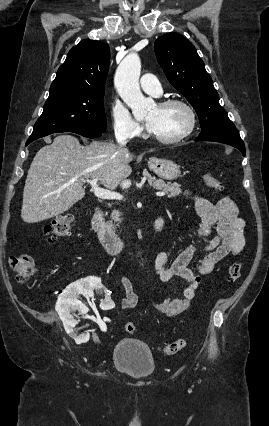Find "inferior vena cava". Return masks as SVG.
<instances>
[{
    "label": "inferior vena cava",
    "instance_id": "602c4592",
    "mask_svg": "<svg viewBox=\"0 0 269 426\" xmlns=\"http://www.w3.org/2000/svg\"><path fill=\"white\" fill-rule=\"evenodd\" d=\"M116 140H117L118 144L120 145V147L125 146L126 143H127L126 138L122 135H116Z\"/></svg>",
    "mask_w": 269,
    "mask_h": 426
}]
</instances>
